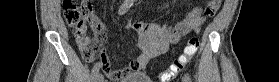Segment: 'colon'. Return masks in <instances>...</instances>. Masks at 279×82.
Here are the masks:
<instances>
[{"instance_id": "colon-1", "label": "colon", "mask_w": 279, "mask_h": 82, "mask_svg": "<svg viewBox=\"0 0 279 82\" xmlns=\"http://www.w3.org/2000/svg\"><path fill=\"white\" fill-rule=\"evenodd\" d=\"M221 0L209 1L210 5H220ZM63 17L67 25L74 30V36L77 42L87 39L86 32L89 27L93 28L99 25V19L89 1L87 0H62ZM199 39L191 37L185 46L183 53L177 57L174 62L161 71L159 82H171L172 79L184 70L192 56L199 48ZM83 58H90V48L82 51Z\"/></svg>"}]
</instances>
